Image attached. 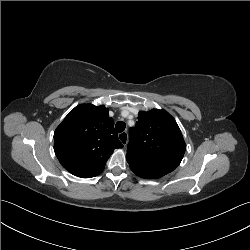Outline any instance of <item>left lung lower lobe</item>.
<instances>
[{
	"mask_svg": "<svg viewBox=\"0 0 250 250\" xmlns=\"http://www.w3.org/2000/svg\"><path fill=\"white\" fill-rule=\"evenodd\" d=\"M153 165L154 162L151 159H144L138 163V167H133L132 170L139 172V177L141 178L156 179L165 175L161 170L153 167ZM135 168L137 170H134Z\"/></svg>",
	"mask_w": 250,
	"mask_h": 250,
	"instance_id": "obj_1",
	"label": "left lung lower lobe"
}]
</instances>
